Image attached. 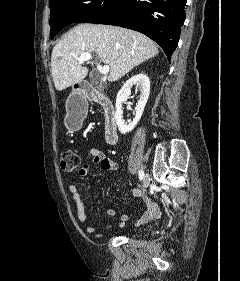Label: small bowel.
<instances>
[{
  "label": "small bowel",
  "mask_w": 240,
  "mask_h": 281,
  "mask_svg": "<svg viewBox=\"0 0 240 281\" xmlns=\"http://www.w3.org/2000/svg\"><path fill=\"white\" fill-rule=\"evenodd\" d=\"M87 154L89 156V161L84 163L80 167L78 171L80 176L82 177L87 176L91 171L92 165H100L101 168L105 171L113 172L118 170L119 167L118 163L114 159L107 157L105 153L102 152L101 150L97 148H90L88 149ZM69 191L76 205L77 220L79 223H85L87 220V215L85 212L84 202L82 200L78 187L75 184H70ZM131 193H133L135 196L142 198L144 209L135 224L136 226H141L153 218V216L156 213V208L152 203V201L150 200L147 193L141 190H132ZM107 215L110 217H114L117 215V211L115 209H108ZM119 220H120V226H124V224L128 220V215L125 214L120 215ZM110 228L111 225H107L102 229L93 226H88L86 228V232L93 234L95 237H101L103 233L110 230Z\"/></svg>",
  "instance_id": "1"
}]
</instances>
